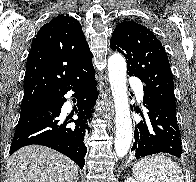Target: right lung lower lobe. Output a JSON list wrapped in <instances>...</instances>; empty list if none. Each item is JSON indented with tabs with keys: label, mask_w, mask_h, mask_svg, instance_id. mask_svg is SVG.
Here are the masks:
<instances>
[{
	"label": "right lung lower lobe",
	"mask_w": 196,
	"mask_h": 182,
	"mask_svg": "<svg viewBox=\"0 0 196 182\" xmlns=\"http://www.w3.org/2000/svg\"><path fill=\"white\" fill-rule=\"evenodd\" d=\"M92 64L77 73L47 99L36 107L20 113L15 134L10 147V155L21 147L38 144L50 147L71 158L81 169L87 148L84 137L88 131L87 119L91 117L92 106L96 100L97 88ZM76 92V113L78 119H65L61 108L67 99L64 95ZM74 123V125H69Z\"/></svg>",
	"instance_id": "98d812e1"
}]
</instances>
